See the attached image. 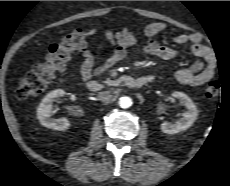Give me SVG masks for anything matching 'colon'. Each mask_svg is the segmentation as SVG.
Returning <instances> with one entry per match:
<instances>
[{
	"mask_svg": "<svg viewBox=\"0 0 230 186\" xmlns=\"http://www.w3.org/2000/svg\"><path fill=\"white\" fill-rule=\"evenodd\" d=\"M88 45L87 33L75 31L63 36L57 43L50 46L45 62L32 67L19 81L16 95L20 99L35 97L42 94L53 82L55 75L64 70L72 54L83 50ZM220 92L218 81H211L206 89L207 98H214Z\"/></svg>",
	"mask_w": 230,
	"mask_h": 186,
	"instance_id": "1",
	"label": "colon"
}]
</instances>
